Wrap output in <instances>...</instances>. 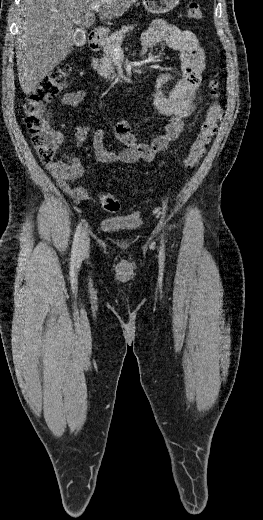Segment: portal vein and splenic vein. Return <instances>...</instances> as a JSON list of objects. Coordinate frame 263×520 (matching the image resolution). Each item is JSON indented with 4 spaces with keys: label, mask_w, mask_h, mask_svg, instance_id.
I'll use <instances>...</instances> for the list:
<instances>
[{
    "label": "portal vein and splenic vein",
    "mask_w": 263,
    "mask_h": 520,
    "mask_svg": "<svg viewBox=\"0 0 263 520\" xmlns=\"http://www.w3.org/2000/svg\"><path fill=\"white\" fill-rule=\"evenodd\" d=\"M100 6H101V4L96 3V4H94V5L92 6V9H93V10H98V9L100 8ZM116 49H119V47H117Z\"/></svg>",
    "instance_id": "portal-vein-and-splenic-vein-1"
}]
</instances>
